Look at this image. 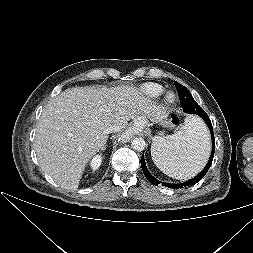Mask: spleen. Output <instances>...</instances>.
I'll list each match as a JSON object with an SVG mask.
<instances>
[{
  "label": "spleen",
  "instance_id": "obj_1",
  "mask_svg": "<svg viewBox=\"0 0 253 253\" xmlns=\"http://www.w3.org/2000/svg\"><path fill=\"white\" fill-rule=\"evenodd\" d=\"M210 154V137L204 122L186 118L175 134L155 136L151 146L154 164L166 175L185 180L199 173Z\"/></svg>",
  "mask_w": 253,
  "mask_h": 253
}]
</instances>
